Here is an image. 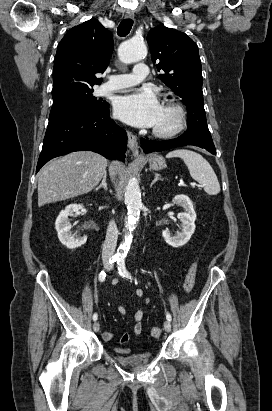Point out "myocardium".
Here are the masks:
<instances>
[{"mask_svg": "<svg viewBox=\"0 0 272 411\" xmlns=\"http://www.w3.org/2000/svg\"><path fill=\"white\" fill-rule=\"evenodd\" d=\"M163 109L172 113L173 124L168 128L155 126L153 134L158 138H172L178 135L186 126L187 116L184 108L175 101H168L163 105Z\"/></svg>", "mask_w": 272, "mask_h": 411, "instance_id": "1", "label": "myocardium"}]
</instances>
